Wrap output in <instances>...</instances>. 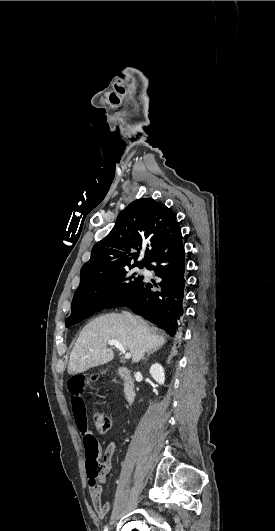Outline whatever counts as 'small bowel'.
Returning a JSON list of instances; mask_svg holds the SVG:
<instances>
[{"label": "small bowel", "mask_w": 275, "mask_h": 531, "mask_svg": "<svg viewBox=\"0 0 275 531\" xmlns=\"http://www.w3.org/2000/svg\"><path fill=\"white\" fill-rule=\"evenodd\" d=\"M91 380H94V377H91ZM87 383L88 378L82 375H70L68 378L66 388L70 393L69 403L71 404L70 406L74 417H85L87 413L85 408L87 402L85 400V391L83 390L84 385ZM76 423L85 449L92 444L97 443L94 435L87 429L86 423L81 424L77 421ZM105 482L106 472L98 475L93 480L89 478V497L97 516L101 519L106 516L112 507V503L110 501L102 500L101 485Z\"/></svg>", "instance_id": "obj_1"}]
</instances>
